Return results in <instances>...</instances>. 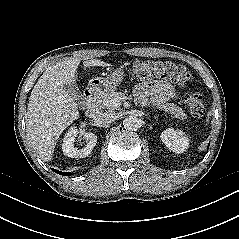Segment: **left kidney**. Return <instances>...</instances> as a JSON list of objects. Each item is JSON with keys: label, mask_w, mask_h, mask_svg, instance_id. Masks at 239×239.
Instances as JSON below:
<instances>
[{"label": "left kidney", "mask_w": 239, "mask_h": 239, "mask_svg": "<svg viewBox=\"0 0 239 239\" xmlns=\"http://www.w3.org/2000/svg\"><path fill=\"white\" fill-rule=\"evenodd\" d=\"M160 137L166 147L175 153H183L188 148L189 140L182 131L168 128L161 133Z\"/></svg>", "instance_id": "obj_1"}]
</instances>
